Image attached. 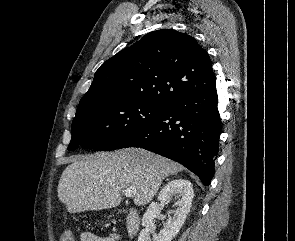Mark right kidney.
I'll return each mask as SVG.
<instances>
[{"instance_id": "1", "label": "right kidney", "mask_w": 295, "mask_h": 241, "mask_svg": "<svg viewBox=\"0 0 295 241\" xmlns=\"http://www.w3.org/2000/svg\"><path fill=\"white\" fill-rule=\"evenodd\" d=\"M194 190L191 182L186 179L170 181L158 194L157 201L152 202L142 218V226L138 241H171L184 224L192 206ZM172 199L176 200L177 208L173 216L169 217L164 228L155 234L154 218L160 213L165 204ZM153 234L151 239L150 235Z\"/></svg>"}]
</instances>
